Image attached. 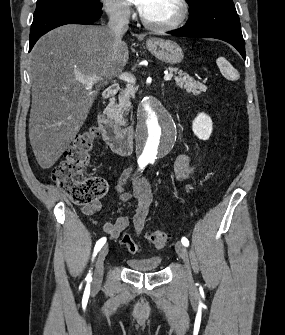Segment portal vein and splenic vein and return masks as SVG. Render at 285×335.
<instances>
[{
    "label": "portal vein and splenic vein",
    "instance_id": "18ae733b",
    "mask_svg": "<svg viewBox=\"0 0 285 335\" xmlns=\"http://www.w3.org/2000/svg\"><path fill=\"white\" fill-rule=\"evenodd\" d=\"M164 74V80H171V78H173V74H168V72H164ZM76 80H78V82H82V84H97L98 80H101V78H98V76H79ZM119 80L129 82V84H133V82H135V78H133L131 74H121V76H119Z\"/></svg>",
    "mask_w": 285,
    "mask_h": 335
}]
</instances>
